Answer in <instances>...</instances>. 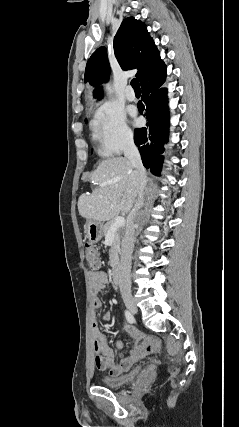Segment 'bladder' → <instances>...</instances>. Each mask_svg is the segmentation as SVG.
Returning a JSON list of instances; mask_svg holds the SVG:
<instances>
[{
    "instance_id": "31cf9c89",
    "label": "bladder",
    "mask_w": 239,
    "mask_h": 427,
    "mask_svg": "<svg viewBox=\"0 0 239 427\" xmlns=\"http://www.w3.org/2000/svg\"><path fill=\"white\" fill-rule=\"evenodd\" d=\"M139 371V368H134L129 373L124 375H104L101 378V382L106 387L117 388L133 381L138 375Z\"/></svg>"
}]
</instances>
